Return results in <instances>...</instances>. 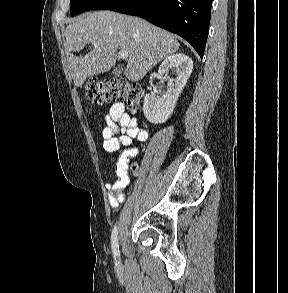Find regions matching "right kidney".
Returning a JSON list of instances; mask_svg holds the SVG:
<instances>
[{"instance_id": "1", "label": "right kidney", "mask_w": 288, "mask_h": 293, "mask_svg": "<svg viewBox=\"0 0 288 293\" xmlns=\"http://www.w3.org/2000/svg\"><path fill=\"white\" fill-rule=\"evenodd\" d=\"M192 69L193 61L182 53L173 54L161 63L158 73L167 82V92L161 98L155 94L144 97L143 112L149 122L158 124L168 120ZM169 71L176 75V79L167 76Z\"/></svg>"}]
</instances>
